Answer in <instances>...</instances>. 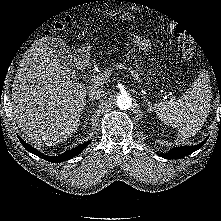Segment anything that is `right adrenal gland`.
Wrapping results in <instances>:
<instances>
[{
  "mask_svg": "<svg viewBox=\"0 0 221 221\" xmlns=\"http://www.w3.org/2000/svg\"><path fill=\"white\" fill-rule=\"evenodd\" d=\"M94 103L95 102V100H93V99H87V100H85V102H84V106H83V108H82V110L84 111L86 108H87V103L89 104V103ZM90 113H92V110L90 111Z\"/></svg>",
  "mask_w": 221,
  "mask_h": 221,
  "instance_id": "right-adrenal-gland-1",
  "label": "right adrenal gland"
}]
</instances>
